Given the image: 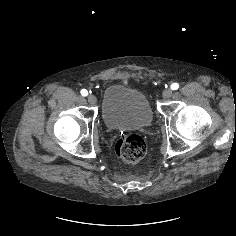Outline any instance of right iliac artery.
Masks as SVG:
<instances>
[{"instance_id":"82829eb1","label":"right iliac artery","mask_w":236,"mask_h":236,"mask_svg":"<svg viewBox=\"0 0 236 236\" xmlns=\"http://www.w3.org/2000/svg\"><path fill=\"white\" fill-rule=\"evenodd\" d=\"M80 93H81L82 96H87L88 95V91L86 89H82L80 91Z\"/></svg>"}]
</instances>
